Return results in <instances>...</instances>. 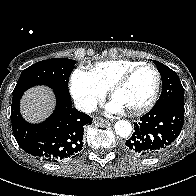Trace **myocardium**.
<instances>
[{
  "instance_id": "f54148a6",
  "label": "myocardium",
  "mask_w": 196,
  "mask_h": 196,
  "mask_svg": "<svg viewBox=\"0 0 196 196\" xmlns=\"http://www.w3.org/2000/svg\"><path fill=\"white\" fill-rule=\"evenodd\" d=\"M143 68H151L155 72L156 86H155V89H154V92H153L151 98L144 105L139 106L135 109L129 110V112L133 115H139V114H143V113L147 112L156 103V101L159 97L161 85H162V76H161L159 69L151 63H141V64L133 67L132 69H130L126 73H124L118 80H116L113 83V85L109 89V95H110L111 99H113L115 94L120 89H122L139 70H141Z\"/></svg>"
}]
</instances>
